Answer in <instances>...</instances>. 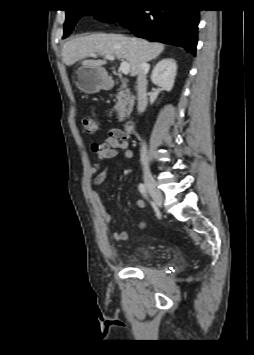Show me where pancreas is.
<instances>
[{"label": "pancreas", "instance_id": "pancreas-1", "mask_svg": "<svg viewBox=\"0 0 254 355\" xmlns=\"http://www.w3.org/2000/svg\"><path fill=\"white\" fill-rule=\"evenodd\" d=\"M117 103L114 109L117 111V118L120 122H123L131 113L134 106V96L131 95L125 86H121V90L116 96Z\"/></svg>", "mask_w": 254, "mask_h": 355}]
</instances>
